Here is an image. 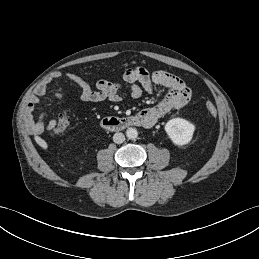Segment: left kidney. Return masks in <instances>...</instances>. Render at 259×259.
<instances>
[{
  "mask_svg": "<svg viewBox=\"0 0 259 259\" xmlns=\"http://www.w3.org/2000/svg\"><path fill=\"white\" fill-rule=\"evenodd\" d=\"M165 131L175 145L183 146L192 140L195 125L185 119L174 118L166 123Z\"/></svg>",
  "mask_w": 259,
  "mask_h": 259,
  "instance_id": "left-kidney-1",
  "label": "left kidney"
}]
</instances>
